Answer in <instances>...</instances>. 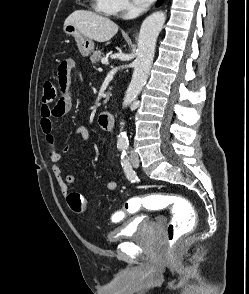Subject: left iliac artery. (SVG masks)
<instances>
[{
	"instance_id": "left-iliac-artery-1",
	"label": "left iliac artery",
	"mask_w": 249,
	"mask_h": 294,
	"mask_svg": "<svg viewBox=\"0 0 249 294\" xmlns=\"http://www.w3.org/2000/svg\"><path fill=\"white\" fill-rule=\"evenodd\" d=\"M121 164H122V167L124 169V172H125L127 178L131 182H135L136 180H138L135 172L132 169V166H131V164L129 162V159H128L127 154H126L125 151H123L122 155H121Z\"/></svg>"
}]
</instances>
